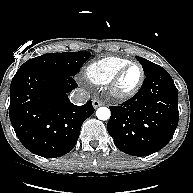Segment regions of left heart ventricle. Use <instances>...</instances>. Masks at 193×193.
Returning a JSON list of instances; mask_svg holds the SVG:
<instances>
[{
    "label": "left heart ventricle",
    "mask_w": 193,
    "mask_h": 193,
    "mask_svg": "<svg viewBox=\"0 0 193 193\" xmlns=\"http://www.w3.org/2000/svg\"><path fill=\"white\" fill-rule=\"evenodd\" d=\"M141 76L137 66L130 67L120 80V89L123 91L132 89L139 81Z\"/></svg>",
    "instance_id": "left-heart-ventricle-1"
}]
</instances>
